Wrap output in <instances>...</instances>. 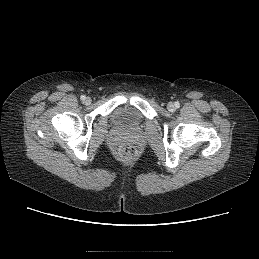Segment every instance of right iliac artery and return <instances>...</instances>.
<instances>
[{
	"label": "right iliac artery",
	"mask_w": 259,
	"mask_h": 259,
	"mask_svg": "<svg viewBox=\"0 0 259 259\" xmlns=\"http://www.w3.org/2000/svg\"><path fill=\"white\" fill-rule=\"evenodd\" d=\"M80 99H81V100H85L86 97H85L84 95H82V96L80 97Z\"/></svg>",
	"instance_id": "right-iliac-artery-1"
}]
</instances>
